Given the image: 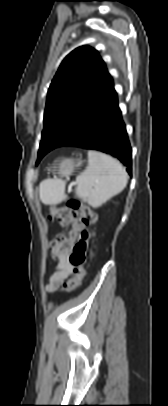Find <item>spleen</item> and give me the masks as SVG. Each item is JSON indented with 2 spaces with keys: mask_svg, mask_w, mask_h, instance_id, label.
Listing matches in <instances>:
<instances>
[{
  "mask_svg": "<svg viewBox=\"0 0 168 406\" xmlns=\"http://www.w3.org/2000/svg\"><path fill=\"white\" fill-rule=\"evenodd\" d=\"M127 173L122 164L113 157L98 151H88V166L76 177L75 194L93 208H98L119 194L127 184ZM65 181L46 179L39 185L40 198L44 204L64 201Z\"/></svg>",
  "mask_w": 168,
  "mask_h": 406,
  "instance_id": "1",
  "label": "spleen"
}]
</instances>
